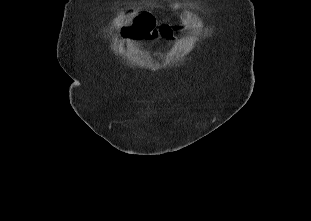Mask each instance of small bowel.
Listing matches in <instances>:
<instances>
[{
    "label": "small bowel",
    "instance_id": "c3829d8e",
    "mask_svg": "<svg viewBox=\"0 0 311 221\" xmlns=\"http://www.w3.org/2000/svg\"><path fill=\"white\" fill-rule=\"evenodd\" d=\"M164 29H170V25L166 24L163 26Z\"/></svg>",
    "mask_w": 311,
    "mask_h": 221
}]
</instances>
